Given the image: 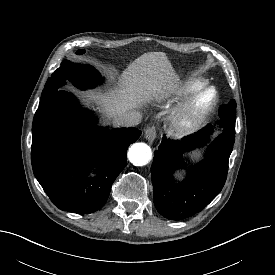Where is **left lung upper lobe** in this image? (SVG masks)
Segmentation results:
<instances>
[{
	"instance_id": "obj_1",
	"label": "left lung upper lobe",
	"mask_w": 275,
	"mask_h": 275,
	"mask_svg": "<svg viewBox=\"0 0 275 275\" xmlns=\"http://www.w3.org/2000/svg\"><path fill=\"white\" fill-rule=\"evenodd\" d=\"M223 116V120L227 121L231 125H235L236 121V102L231 100L228 105H223L219 111V115Z\"/></svg>"
}]
</instances>
